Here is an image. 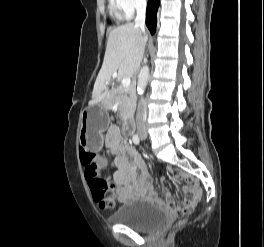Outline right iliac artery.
<instances>
[{
  "instance_id": "right-iliac-artery-1",
  "label": "right iliac artery",
  "mask_w": 264,
  "mask_h": 247,
  "mask_svg": "<svg viewBox=\"0 0 264 247\" xmlns=\"http://www.w3.org/2000/svg\"><path fill=\"white\" fill-rule=\"evenodd\" d=\"M133 142H134V144H136V145H138V144L140 143V138H139L138 134H135V135L133 136Z\"/></svg>"
}]
</instances>
